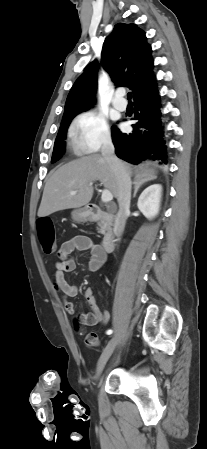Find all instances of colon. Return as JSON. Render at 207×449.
<instances>
[{"label":"colon","instance_id":"colon-1","mask_svg":"<svg viewBox=\"0 0 207 449\" xmlns=\"http://www.w3.org/2000/svg\"><path fill=\"white\" fill-rule=\"evenodd\" d=\"M38 234L42 246V250L45 253H53L56 250V241L54 233V225L49 218H40L38 220ZM76 326H80V321H76ZM84 342L86 345L95 347L99 344L98 336L95 332L86 333L84 336Z\"/></svg>","mask_w":207,"mask_h":449}]
</instances>
